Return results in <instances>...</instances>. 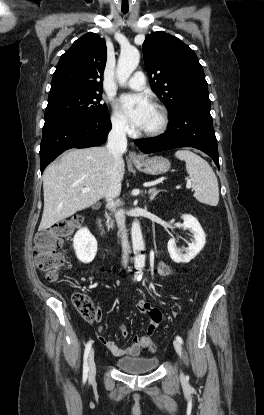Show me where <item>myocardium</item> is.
<instances>
[{"label": "myocardium", "instance_id": "1", "mask_svg": "<svg viewBox=\"0 0 264 415\" xmlns=\"http://www.w3.org/2000/svg\"><path fill=\"white\" fill-rule=\"evenodd\" d=\"M153 108L156 109L159 113L158 125L151 130H142L138 133V135L144 137H156L167 129L169 125V114L167 109L161 104H154Z\"/></svg>", "mask_w": 264, "mask_h": 415}]
</instances>
